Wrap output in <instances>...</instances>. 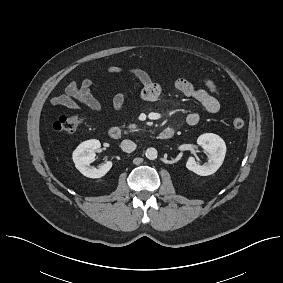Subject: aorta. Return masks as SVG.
<instances>
[{"mask_svg":"<svg viewBox=\"0 0 283 283\" xmlns=\"http://www.w3.org/2000/svg\"><path fill=\"white\" fill-rule=\"evenodd\" d=\"M158 156V152L155 148L153 147H150L146 150V157L149 159V160H155Z\"/></svg>","mask_w":283,"mask_h":283,"instance_id":"aorta-1","label":"aorta"}]
</instances>
